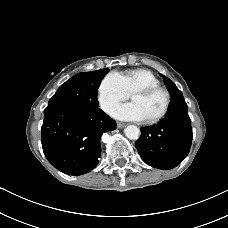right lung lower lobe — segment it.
I'll return each mask as SVG.
<instances>
[{
    "label": "right lung lower lobe",
    "mask_w": 228,
    "mask_h": 228,
    "mask_svg": "<svg viewBox=\"0 0 228 228\" xmlns=\"http://www.w3.org/2000/svg\"><path fill=\"white\" fill-rule=\"evenodd\" d=\"M114 129L116 122L101 109L50 106L44 110L42 148L55 168L69 175H82L99 162L102 134Z\"/></svg>",
    "instance_id": "right-lung-lower-lobe-1"
}]
</instances>
